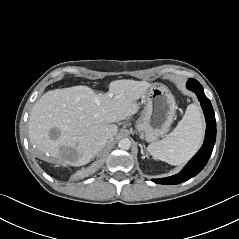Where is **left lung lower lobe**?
Masks as SVG:
<instances>
[{"instance_id": "obj_1", "label": "left lung lower lobe", "mask_w": 239, "mask_h": 239, "mask_svg": "<svg viewBox=\"0 0 239 239\" xmlns=\"http://www.w3.org/2000/svg\"><path fill=\"white\" fill-rule=\"evenodd\" d=\"M187 88L196 93L202 109L204 110L207 124L204 143L201 149L188 162L181 172L171 177L153 179V181L158 184H179L196 176L208 162L215 144L216 121L210 100L205 96L203 87L198 81L192 80L187 82Z\"/></svg>"}]
</instances>
